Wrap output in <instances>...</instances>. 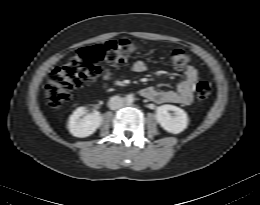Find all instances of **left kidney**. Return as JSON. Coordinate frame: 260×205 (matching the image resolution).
Here are the masks:
<instances>
[{"label":"left kidney","mask_w":260,"mask_h":205,"mask_svg":"<svg viewBox=\"0 0 260 205\" xmlns=\"http://www.w3.org/2000/svg\"><path fill=\"white\" fill-rule=\"evenodd\" d=\"M168 111H173L174 116ZM156 120L161 127L169 133L179 134L188 126V116L186 112L174 105H162L157 107Z\"/></svg>","instance_id":"obj_1"}]
</instances>
